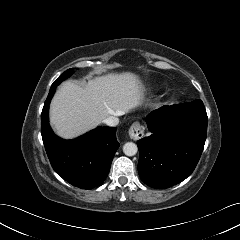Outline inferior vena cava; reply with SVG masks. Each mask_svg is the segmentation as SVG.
Returning <instances> with one entry per match:
<instances>
[{
  "instance_id": "obj_1",
  "label": "inferior vena cava",
  "mask_w": 240,
  "mask_h": 240,
  "mask_svg": "<svg viewBox=\"0 0 240 240\" xmlns=\"http://www.w3.org/2000/svg\"><path fill=\"white\" fill-rule=\"evenodd\" d=\"M103 122L108 126L114 127L118 125L119 119L116 116H109L106 119H104Z\"/></svg>"
}]
</instances>
